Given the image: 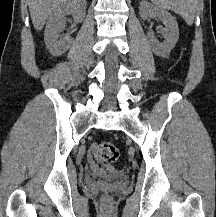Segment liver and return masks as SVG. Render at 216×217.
<instances>
[{
  "label": "liver",
  "instance_id": "6515ba94",
  "mask_svg": "<svg viewBox=\"0 0 216 217\" xmlns=\"http://www.w3.org/2000/svg\"><path fill=\"white\" fill-rule=\"evenodd\" d=\"M67 0H29V11L34 28L42 30L49 15Z\"/></svg>",
  "mask_w": 216,
  "mask_h": 217
}]
</instances>
